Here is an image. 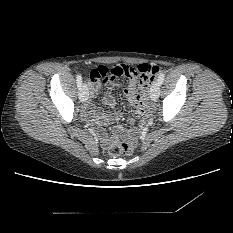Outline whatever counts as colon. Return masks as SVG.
<instances>
[{
  "label": "colon",
  "instance_id": "colon-1",
  "mask_svg": "<svg viewBox=\"0 0 233 233\" xmlns=\"http://www.w3.org/2000/svg\"><path fill=\"white\" fill-rule=\"evenodd\" d=\"M124 75L128 77L138 78L142 83H151L159 74L160 68L153 64L126 65L122 64ZM111 77V72L108 68L100 65L94 68L90 73L92 82L107 81ZM141 104L147 103V95L141 93L138 97ZM132 153V148L123 142L115 143L108 148V154L111 156H124Z\"/></svg>",
  "mask_w": 233,
  "mask_h": 233
}]
</instances>
